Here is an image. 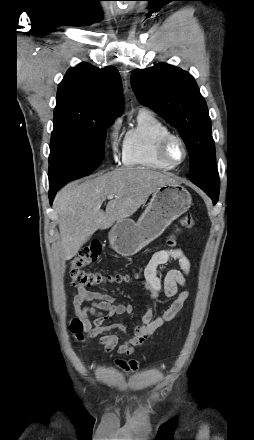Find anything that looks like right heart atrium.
I'll return each mask as SVG.
<instances>
[{
    "instance_id": "right-heart-atrium-1",
    "label": "right heart atrium",
    "mask_w": 254,
    "mask_h": 440,
    "mask_svg": "<svg viewBox=\"0 0 254 440\" xmlns=\"http://www.w3.org/2000/svg\"><path fill=\"white\" fill-rule=\"evenodd\" d=\"M120 126V121L116 119L108 128V145L114 160H117L121 146Z\"/></svg>"
}]
</instances>
